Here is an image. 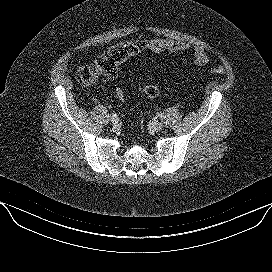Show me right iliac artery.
<instances>
[{"instance_id":"right-iliac-artery-1","label":"right iliac artery","mask_w":272,"mask_h":272,"mask_svg":"<svg viewBox=\"0 0 272 272\" xmlns=\"http://www.w3.org/2000/svg\"><path fill=\"white\" fill-rule=\"evenodd\" d=\"M111 117L115 118V117H117V114L116 113H112Z\"/></svg>"}]
</instances>
